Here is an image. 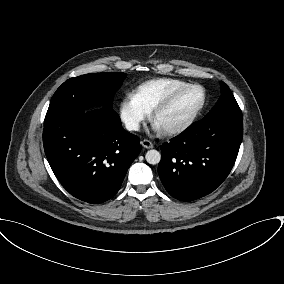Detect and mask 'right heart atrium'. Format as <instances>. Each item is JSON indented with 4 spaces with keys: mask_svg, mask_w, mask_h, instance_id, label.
Segmentation results:
<instances>
[{
    "mask_svg": "<svg viewBox=\"0 0 284 284\" xmlns=\"http://www.w3.org/2000/svg\"><path fill=\"white\" fill-rule=\"evenodd\" d=\"M148 115L149 112L139 103L132 93H128L119 105L120 120L129 131L138 130L141 123Z\"/></svg>",
    "mask_w": 284,
    "mask_h": 284,
    "instance_id": "d8ad5b80",
    "label": "right heart atrium"
}]
</instances>
